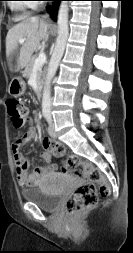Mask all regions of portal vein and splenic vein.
<instances>
[{
    "mask_svg": "<svg viewBox=\"0 0 133 253\" xmlns=\"http://www.w3.org/2000/svg\"><path fill=\"white\" fill-rule=\"evenodd\" d=\"M25 42V39H20L19 43L23 44ZM46 61V54L44 52H40L39 56L35 60L34 68L42 66Z\"/></svg>",
    "mask_w": 133,
    "mask_h": 253,
    "instance_id": "obj_1",
    "label": "portal vein and splenic vein"
}]
</instances>
